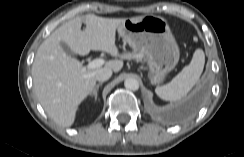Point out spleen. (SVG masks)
<instances>
[{"instance_id": "spleen-1", "label": "spleen", "mask_w": 244, "mask_h": 157, "mask_svg": "<svg viewBox=\"0 0 244 157\" xmlns=\"http://www.w3.org/2000/svg\"><path fill=\"white\" fill-rule=\"evenodd\" d=\"M205 63L202 49H196L190 63L185 66L172 81L166 85L158 86L156 94L166 101H177L183 98L199 80Z\"/></svg>"}]
</instances>
